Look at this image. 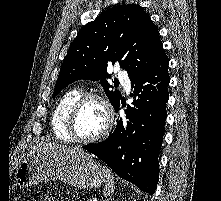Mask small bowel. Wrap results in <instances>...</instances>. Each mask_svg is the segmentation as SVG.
<instances>
[{
	"label": "small bowel",
	"instance_id": "obj_1",
	"mask_svg": "<svg viewBox=\"0 0 221 201\" xmlns=\"http://www.w3.org/2000/svg\"><path fill=\"white\" fill-rule=\"evenodd\" d=\"M44 201H54V200L51 199V198H47V199H45Z\"/></svg>",
	"mask_w": 221,
	"mask_h": 201
}]
</instances>
